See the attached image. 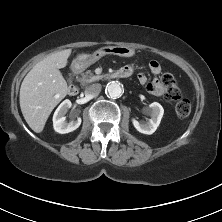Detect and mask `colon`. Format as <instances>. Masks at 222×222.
<instances>
[{
  "instance_id": "colon-1",
  "label": "colon",
  "mask_w": 222,
  "mask_h": 222,
  "mask_svg": "<svg viewBox=\"0 0 222 222\" xmlns=\"http://www.w3.org/2000/svg\"><path fill=\"white\" fill-rule=\"evenodd\" d=\"M160 81L164 88V98L175 103V111L180 118L187 117L191 111V104L179 90L174 76L168 72L164 73Z\"/></svg>"
}]
</instances>
